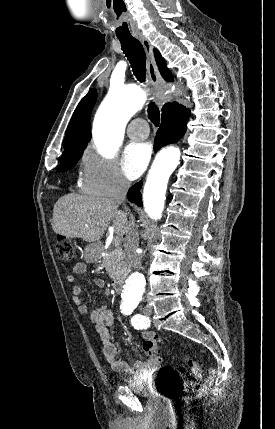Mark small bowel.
<instances>
[{"label": "small bowel", "instance_id": "1", "mask_svg": "<svg viewBox=\"0 0 275 429\" xmlns=\"http://www.w3.org/2000/svg\"><path fill=\"white\" fill-rule=\"evenodd\" d=\"M85 271V263H76L73 267L74 274L68 275V281L70 283H75V275L82 274ZM72 301L80 314L84 315L88 313V307L82 298V288L79 285L75 284L72 287ZM89 319L100 335L103 344V354L114 371L130 379L139 378L157 369L158 363L153 359H148L143 362L135 361L133 364H129L125 360L118 358V347L111 340L113 313L107 306H101L93 310L89 315ZM156 339V336H154L152 332L145 331L143 333V345L147 341H154Z\"/></svg>", "mask_w": 275, "mask_h": 429}]
</instances>
